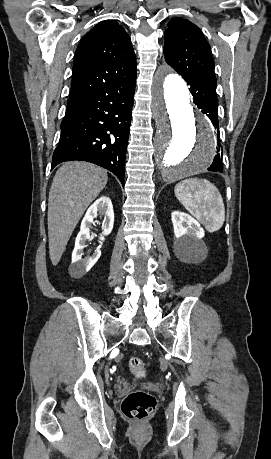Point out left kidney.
<instances>
[{"instance_id":"1","label":"left kidney","mask_w":271,"mask_h":459,"mask_svg":"<svg viewBox=\"0 0 271 459\" xmlns=\"http://www.w3.org/2000/svg\"><path fill=\"white\" fill-rule=\"evenodd\" d=\"M171 220L174 228V233L177 237L174 247L180 251V253H185V251H196L198 245L197 241L202 235V228L200 224L184 214V212H172Z\"/></svg>"}]
</instances>
